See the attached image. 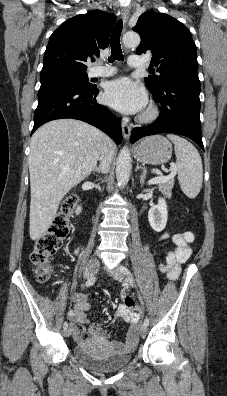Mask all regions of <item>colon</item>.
<instances>
[{
	"label": "colon",
	"instance_id": "colon-1",
	"mask_svg": "<svg viewBox=\"0 0 227 396\" xmlns=\"http://www.w3.org/2000/svg\"><path fill=\"white\" fill-rule=\"evenodd\" d=\"M77 204L76 197L67 198L60 210L54 217L47 232L41 236L34 244L30 259L35 266L37 280L40 283L47 282L52 274V257L61 247L63 240L69 231V218ZM125 304L132 308H137L132 298H126Z\"/></svg>",
	"mask_w": 227,
	"mask_h": 396
}]
</instances>
